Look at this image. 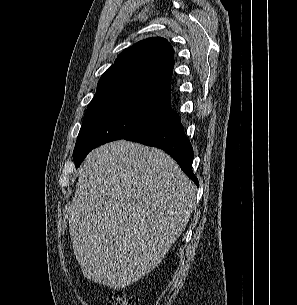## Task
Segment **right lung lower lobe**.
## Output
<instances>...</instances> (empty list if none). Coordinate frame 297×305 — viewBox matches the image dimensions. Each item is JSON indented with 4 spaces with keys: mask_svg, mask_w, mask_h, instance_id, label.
Listing matches in <instances>:
<instances>
[{
    "mask_svg": "<svg viewBox=\"0 0 297 305\" xmlns=\"http://www.w3.org/2000/svg\"><path fill=\"white\" fill-rule=\"evenodd\" d=\"M124 139L164 150L177 161L184 173L199 186L197 177L192 171L193 148L184 133L180 117L175 111L171 110L148 127Z\"/></svg>",
    "mask_w": 297,
    "mask_h": 305,
    "instance_id": "1",
    "label": "right lung lower lobe"
}]
</instances>
